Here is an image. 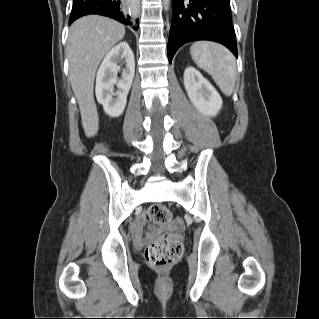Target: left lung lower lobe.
Returning <instances> with one entry per match:
<instances>
[{
  "label": "left lung lower lobe",
  "instance_id": "obj_1",
  "mask_svg": "<svg viewBox=\"0 0 319 319\" xmlns=\"http://www.w3.org/2000/svg\"><path fill=\"white\" fill-rule=\"evenodd\" d=\"M197 40L218 42L238 57L229 0H172L169 62L182 45Z\"/></svg>",
  "mask_w": 319,
  "mask_h": 319
}]
</instances>
